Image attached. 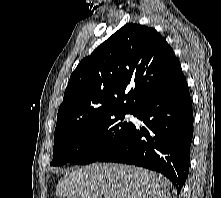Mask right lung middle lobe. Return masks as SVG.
Returning <instances> with one entry per match:
<instances>
[{"mask_svg":"<svg viewBox=\"0 0 221 198\" xmlns=\"http://www.w3.org/2000/svg\"><path fill=\"white\" fill-rule=\"evenodd\" d=\"M126 113L119 112L104 117L80 130L55 137L51 165H85L97 161L117 145L132 128L131 122H122ZM118 120L121 122H117Z\"/></svg>","mask_w":221,"mask_h":198,"instance_id":"dd1d6c3e","label":"right lung middle lobe"}]
</instances>
